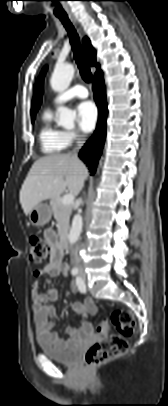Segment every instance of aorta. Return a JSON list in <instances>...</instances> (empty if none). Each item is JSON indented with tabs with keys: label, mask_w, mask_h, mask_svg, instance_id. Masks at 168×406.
<instances>
[{
	"label": "aorta",
	"mask_w": 168,
	"mask_h": 406,
	"mask_svg": "<svg viewBox=\"0 0 168 406\" xmlns=\"http://www.w3.org/2000/svg\"><path fill=\"white\" fill-rule=\"evenodd\" d=\"M74 72L75 69L71 64L66 63L56 65L50 79L52 89L56 92L65 91L72 81ZM57 112H58V120H57L58 125L63 126L65 128H72L74 126V121L76 118L75 111H72L71 109H68L66 107H59L57 109ZM82 225H83L82 216L80 214L75 215L68 236V240L71 245L76 243V241L78 240L82 231Z\"/></svg>",
	"instance_id": "762f6f07"
}]
</instances>
